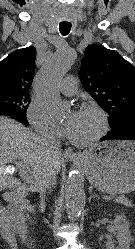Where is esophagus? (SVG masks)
<instances>
[{"instance_id":"34e87169","label":"esophagus","mask_w":135,"mask_h":249,"mask_svg":"<svg viewBox=\"0 0 135 249\" xmlns=\"http://www.w3.org/2000/svg\"><path fill=\"white\" fill-rule=\"evenodd\" d=\"M63 156L65 158H67V159H75V158H77L76 153L70 148H67V149L64 150Z\"/></svg>"}]
</instances>
